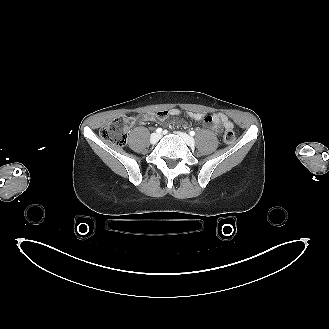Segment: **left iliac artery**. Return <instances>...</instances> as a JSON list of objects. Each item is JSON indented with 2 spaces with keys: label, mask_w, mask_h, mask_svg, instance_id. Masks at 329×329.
Returning <instances> with one entry per match:
<instances>
[{
  "label": "left iliac artery",
  "mask_w": 329,
  "mask_h": 329,
  "mask_svg": "<svg viewBox=\"0 0 329 329\" xmlns=\"http://www.w3.org/2000/svg\"><path fill=\"white\" fill-rule=\"evenodd\" d=\"M190 135L191 136H194L195 135V132L194 131H190Z\"/></svg>",
  "instance_id": "1"
}]
</instances>
